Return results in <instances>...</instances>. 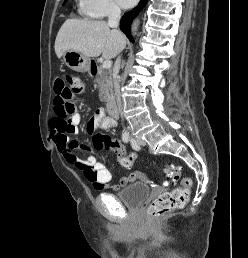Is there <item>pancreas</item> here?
<instances>
[{
	"mask_svg": "<svg viewBox=\"0 0 248 258\" xmlns=\"http://www.w3.org/2000/svg\"><path fill=\"white\" fill-rule=\"evenodd\" d=\"M95 81L100 87L99 98L101 101H105L107 96L112 92L113 81L111 70H106L102 66H98Z\"/></svg>",
	"mask_w": 248,
	"mask_h": 258,
	"instance_id": "obj_1",
	"label": "pancreas"
}]
</instances>
